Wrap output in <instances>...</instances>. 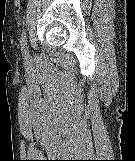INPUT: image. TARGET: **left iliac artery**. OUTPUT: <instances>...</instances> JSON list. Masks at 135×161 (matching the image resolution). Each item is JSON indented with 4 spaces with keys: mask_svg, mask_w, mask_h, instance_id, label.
<instances>
[{
    "mask_svg": "<svg viewBox=\"0 0 135 161\" xmlns=\"http://www.w3.org/2000/svg\"><path fill=\"white\" fill-rule=\"evenodd\" d=\"M20 43H21V51L25 59H28L29 54L27 51V41H26V33L25 31L22 32L21 38H20Z\"/></svg>",
    "mask_w": 135,
    "mask_h": 161,
    "instance_id": "obj_1",
    "label": "left iliac artery"
}]
</instances>
